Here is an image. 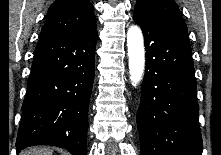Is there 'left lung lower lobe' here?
I'll use <instances>...</instances> for the list:
<instances>
[{
    "instance_id": "left-lung-lower-lobe-1",
    "label": "left lung lower lobe",
    "mask_w": 221,
    "mask_h": 155,
    "mask_svg": "<svg viewBox=\"0 0 221 155\" xmlns=\"http://www.w3.org/2000/svg\"><path fill=\"white\" fill-rule=\"evenodd\" d=\"M146 68L137 113L141 155H202L196 79L187 32L140 9Z\"/></svg>"
}]
</instances>
